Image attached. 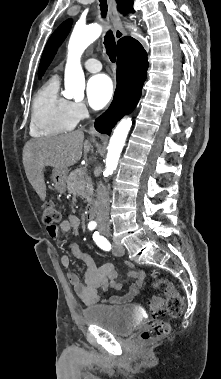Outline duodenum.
Listing matches in <instances>:
<instances>
[{
	"instance_id": "1",
	"label": "duodenum",
	"mask_w": 221,
	"mask_h": 379,
	"mask_svg": "<svg viewBox=\"0 0 221 379\" xmlns=\"http://www.w3.org/2000/svg\"><path fill=\"white\" fill-rule=\"evenodd\" d=\"M97 211H98L97 202L90 203L86 209V219L89 221L93 220L97 215Z\"/></svg>"
}]
</instances>
